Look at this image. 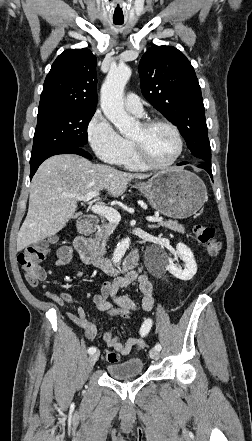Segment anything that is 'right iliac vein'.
<instances>
[{
	"instance_id": "right-iliac-vein-1",
	"label": "right iliac vein",
	"mask_w": 252,
	"mask_h": 441,
	"mask_svg": "<svg viewBox=\"0 0 252 441\" xmlns=\"http://www.w3.org/2000/svg\"><path fill=\"white\" fill-rule=\"evenodd\" d=\"M99 355H100L99 352H95L94 354L90 355L89 360H88V364H89L90 368H92L95 365V363L97 362V360L99 358Z\"/></svg>"
}]
</instances>
